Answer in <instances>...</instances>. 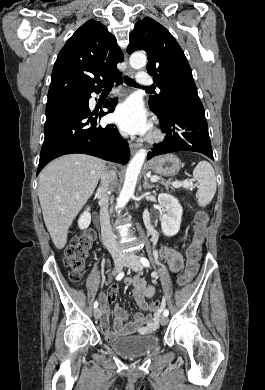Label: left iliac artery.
I'll list each match as a JSON object with an SVG mask.
<instances>
[{
    "label": "left iliac artery",
    "mask_w": 265,
    "mask_h": 390,
    "mask_svg": "<svg viewBox=\"0 0 265 390\" xmlns=\"http://www.w3.org/2000/svg\"><path fill=\"white\" fill-rule=\"evenodd\" d=\"M140 262L145 267H149L150 266V263H149L148 259L145 258V257H140ZM163 315L164 316H168L169 315V311L167 309H165L164 312H163Z\"/></svg>",
    "instance_id": "44dca946"
}]
</instances>
